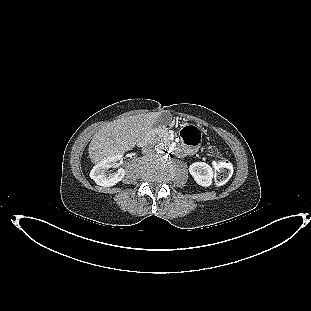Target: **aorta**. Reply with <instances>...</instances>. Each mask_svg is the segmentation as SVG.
<instances>
[{"label":"aorta","instance_id":"obj_1","mask_svg":"<svg viewBox=\"0 0 311 311\" xmlns=\"http://www.w3.org/2000/svg\"><path fill=\"white\" fill-rule=\"evenodd\" d=\"M167 147L164 143H158L155 146V151L159 154V153H164L166 151Z\"/></svg>","mask_w":311,"mask_h":311}]
</instances>
